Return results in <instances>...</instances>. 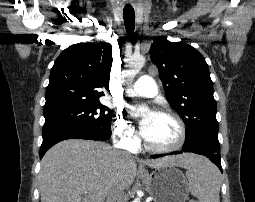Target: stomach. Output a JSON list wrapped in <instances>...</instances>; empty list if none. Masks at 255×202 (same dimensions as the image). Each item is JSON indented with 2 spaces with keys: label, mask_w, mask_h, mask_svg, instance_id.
Masks as SVG:
<instances>
[{
  "label": "stomach",
  "mask_w": 255,
  "mask_h": 202,
  "mask_svg": "<svg viewBox=\"0 0 255 202\" xmlns=\"http://www.w3.org/2000/svg\"><path fill=\"white\" fill-rule=\"evenodd\" d=\"M146 189L155 202H185L190 191L184 174L174 166L156 168Z\"/></svg>",
  "instance_id": "1"
}]
</instances>
